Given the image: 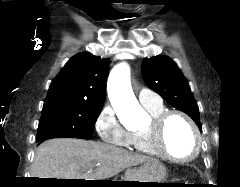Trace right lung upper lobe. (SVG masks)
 Wrapping results in <instances>:
<instances>
[{
	"instance_id": "obj_1",
	"label": "right lung upper lobe",
	"mask_w": 240,
	"mask_h": 187,
	"mask_svg": "<svg viewBox=\"0 0 240 187\" xmlns=\"http://www.w3.org/2000/svg\"><path fill=\"white\" fill-rule=\"evenodd\" d=\"M108 59L90 53L72 57L52 80L43 107L59 104L103 105Z\"/></svg>"
}]
</instances>
